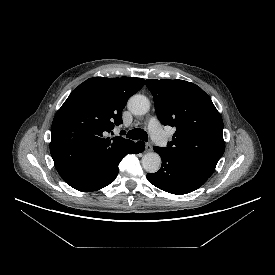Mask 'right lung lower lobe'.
I'll return each instance as SVG.
<instances>
[{
  "instance_id": "right-lung-lower-lobe-1",
  "label": "right lung lower lobe",
  "mask_w": 275,
  "mask_h": 275,
  "mask_svg": "<svg viewBox=\"0 0 275 275\" xmlns=\"http://www.w3.org/2000/svg\"><path fill=\"white\" fill-rule=\"evenodd\" d=\"M144 148V142L139 141L137 143H134L122 155H120L116 160H114L105 168L79 178L68 180L66 181V183H68V185H70L74 189L82 192H90L104 188L116 179L119 172L118 164L122 160V158L129 153H141L142 151H144Z\"/></svg>"
}]
</instances>
